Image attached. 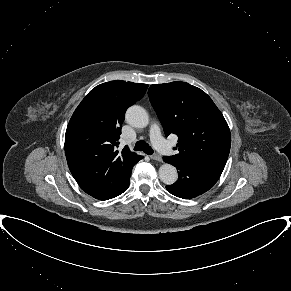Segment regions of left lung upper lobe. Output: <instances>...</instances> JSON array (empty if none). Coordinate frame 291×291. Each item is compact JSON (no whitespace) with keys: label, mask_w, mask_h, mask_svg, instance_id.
I'll return each instance as SVG.
<instances>
[{"label":"left lung upper lobe","mask_w":291,"mask_h":291,"mask_svg":"<svg viewBox=\"0 0 291 291\" xmlns=\"http://www.w3.org/2000/svg\"><path fill=\"white\" fill-rule=\"evenodd\" d=\"M148 95L165 135L178 136V154L174 157L225 166L230 130L204 91L186 82H171L151 85Z\"/></svg>","instance_id":"1"}]
</instances>
